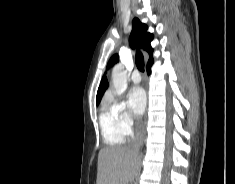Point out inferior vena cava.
Returning a JSON list of instances; mask_svg holds the SVG:
<instances>
[{
  "label": "inferior vena cava",
  "instance_id": "obj_1",
  "mask_svg": "<svg viewBox=\"0 0 235 184\" xmlns=\"http://www.w3.org/2000/svg\"><path fill=\"white\" fill-rule=\"evenodd\" d=\"M144 134H145V132L143 130L142 120H136L135 138H134V142L131 146L132 152H134V154H136V156H139V150H140V146H142V144H143Z\"/></svg>",
  "mask_w": 235,
  "mask_h": 184
}]
</instances>
